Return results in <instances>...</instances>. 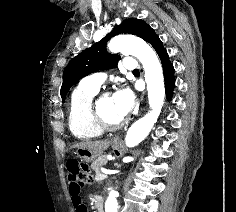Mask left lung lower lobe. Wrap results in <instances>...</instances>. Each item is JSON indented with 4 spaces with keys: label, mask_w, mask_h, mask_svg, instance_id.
<instances>
[{
    "label": "left lung lower lobe",
    "mask_w": 236,
    "mask_h": 212,
    "mask_svg": "<svg viewBox=\"0 0 236 212\" xmlns=\"http://www.w3.org/2000/svg\"><path fill=\"white\" fill-rule=\"evenodd\" d=\"M146 42L152 45L161 60L164 72L166 96L167 99L170 100L175 87L174 67L169 60L168 53L163 47L162 41L153 29L149 32Z\"/></svg>",
    "instance_id": "obj_1"
}]
</instances>
